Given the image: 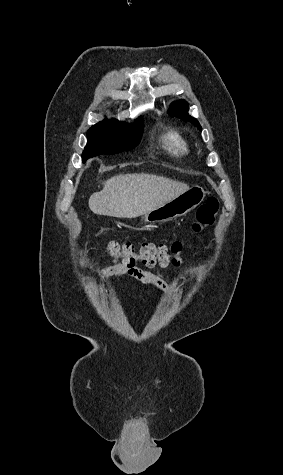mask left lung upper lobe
<instances>
[{
  "instance_id": "left-lung-upper-lobe-1",
  "label": "left lung upper lobe",
  "mask_w": 283,
  "mask_h": 475,
  "mask_svg": "<svg viewBox=\"0 0 283 475\" xmlns=\"http://www.w3.org/2000/svg\"><path fill=\"white\" fill-rule=\"evenodd\" d=\"M188 109H189L188 108V103L184 100H179L177 102H174L170 106L169 114L171 116L181 118L184 121H189L192 124H194L195 126H197L199 128V130H201V126H200L199 122L197 121V119H195L194 117H191L188 114Z\"/></svg>"
}]
</instances>
